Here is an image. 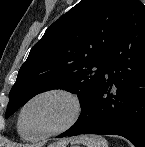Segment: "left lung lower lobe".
<instances>
[{
    "label": "left lung lower lobe",
    "mask_w": 145,
    "mask_h": 147,
    "mask_svg": "<svg viewBox=\"0 0 145 147\" xmlns=\"http://www.w3.org/2000/svg\"><path fill=\"white\" fill-rule=\"evenodd\" d=\"M120 135L145 147V6L131 0L103 76L77 126L58 137Z\"/></svg>",
    "instance_id": "1"
}]
</instances>
